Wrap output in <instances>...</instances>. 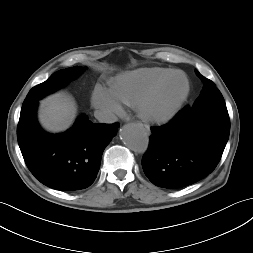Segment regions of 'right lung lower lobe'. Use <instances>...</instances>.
I'll return each mask as SVG.
<instances>
[{"instance_id": "obj_1", "label": "right lung lower lobe", "mask_w": 253, "mask_h": 253, "mask_svg": "<svg viewBox=\"0 0 253 253\" xmlns=\"http://www.w3.org/2000/svg\"><path fill=\"white\" fill-rule=\"evenodd\" d=\"M38 100L22 106L17 138L25 163L44 185L61 191L90 186L99 171L102 153L119 127L94 124L86 116L61 134L44 132L36 119Z\"/></svg>"}]
</instances>
